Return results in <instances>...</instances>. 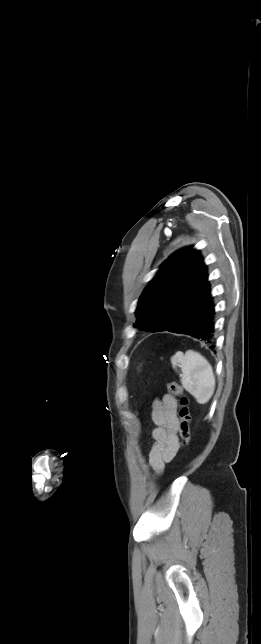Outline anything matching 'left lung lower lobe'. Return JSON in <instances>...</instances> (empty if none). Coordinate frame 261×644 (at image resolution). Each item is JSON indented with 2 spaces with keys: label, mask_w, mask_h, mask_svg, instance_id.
Returning <instances> with one entry per match:
<instances>
[{
  "label": "left lung lower lobe",
  "mask_w": 261,
  "mask_h": 644,
  "mask_svg": "<svg viewBox=\"0 0 261 644\" xmlns=\"http://www.w3.org/2000/svg\"><path fill=\"white\" fill-rule=\"evenodd\" d=\"M211 293L180 324L169 329V332L189 335L211 348L215 347V310Z\"/></svg>",
  "instance_id": "left-lung-lower-lobe-1"
}]
</instances>
